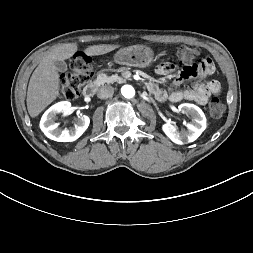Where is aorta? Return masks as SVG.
I'll list each match as a JSON object with an SVG mask.
<instances>
[{
  "label": "aorta",
  "instance_id": "1",
  "mask_svg": "<svg viewBox=\"0 0 253 253\" xmlns=\"http://www.w3.org/2000/svg\"><path fill=\"white\" fill-rule=\"evenodd\" d=\"M121 93L125 98H133L135 96V89L131 85H124L121 88Z\"/></svg>",
  "mask_w": 253,
  "mask_h": 253
}]
</instances>
